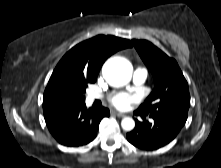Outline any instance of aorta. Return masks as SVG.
I'll return each mask as SVG.
<instances>
[{
	"mask_svg": "<svg viewBox=\"0 0 221 168\" xmlns=\"http://www.w3.org/2000/svg\"><path fill=\"white\" fill-rule=\"evenodd\" d=\"M132 72V64L123 57L108 59L102 68L103 77L114 87H121L129 83ZM121 126L123 130L131 131L135 127V122L132 118L125 117L121 121Z\"/></svg>",
	"mask_w": 221,
	"mask_h": 168,
	"instance_id": "1",
	"label": "aorta"
}]
</instances>
